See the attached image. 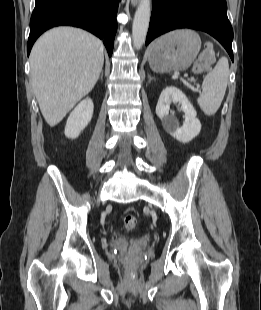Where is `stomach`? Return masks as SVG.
<instances>
[{"mask_svg": "<svg viewBox=\"0 0 261 310\" xmlns=\"http://www.w3.org/2000/svg\"><path fill=\"white\" fill-rule=\"evenodd\" d=\"M201 48L199 35L188 29L163 35L148 49L151 69L159 73L185 71L193 63Z\"/></svg>", "mask_w": 261, "mask_h": 310, "instance_id": "0dacf381", "label": "stomach"}]
</instances>
